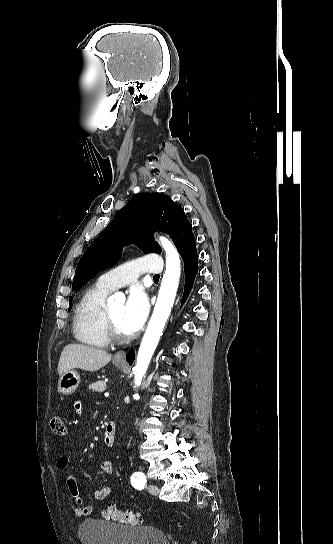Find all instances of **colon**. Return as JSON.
I'll list each match as a JSON object with an SVG mask.
<instances>
[{
	"label": "colon",
	"instance_id": "obj_1",
	"mask_svg": "<svg viewBox=\"0 0 333 544\" xmlns=\"http://www.w3.org/2000/svg\"><path fill=\"white\" fill-rule=\"evenodd\" d=\"M50 427L54 434L59 436L66 435L67 430L62 418L53 417L50 422ZM103 516L108 520L127 525H141L143 523V519L140 514L132 511L119 510L112 505L106 507ZM192 544L197 543L193 542Z\"/></svg>",
	"mask_w": 333,
	"mask_h": 544
}]
</instances>
